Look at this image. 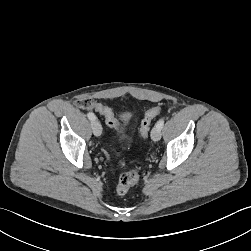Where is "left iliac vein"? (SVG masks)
<instances>
[{
  "label": "left iliac vein",
  "mask_w": 251,
  "mask_h": 251,
  "mask_svg": "<svg viewBox=\"0 0 251 251\" xmlns=\"http://www.w3.org/2000/svg\"><path fill=\"white\" fill-rule=\"evenodd\" d=\"M151 138L153 141H159L161 139V129L156 126L151 131Z\"/></svg>",
  "instance_id": "1"
}]
</instances>
